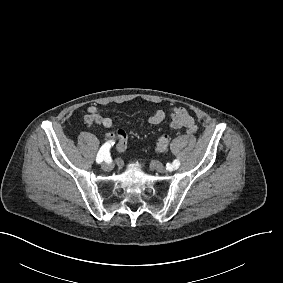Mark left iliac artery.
Listing matches in <instances>:
<instances>
[{
  "label": "left iliac artery",
  "mask_w": 283,
  "mask_h": 283,
  "mask_svg": "<svg viewBox=\"0 0 283 283\" xmlns=\"http://www.w3.org/2000/svg\"><path fill=\"white\" fill-rule=\"evenodd\" d=\"M179 166H180L179 160H177V159L174 160V161H173V168H174V169H177V168H179Z\"/></svg>",
  "instance_id": "44dca946"
}]
</instances>
